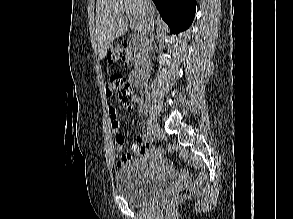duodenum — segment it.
I'll return each instance as SVG.
<instances>
[{"instance_id":"duodenum-1","label":"duodenum","mask_w":293,"mask_h":219,"mask_svg":"<svg viewBox=\"0 0 293 219\" xmlns=\"http://www.w3.org/2000/svg\"><path fill=\"white\" fill-rule=\"evenodd\" d=\"M128 46L136 58L135 70L130 74L129 81L135 88H142L146 84V68L148 56L142 41L131 38Z\"/></svg>"}]
</instances>
